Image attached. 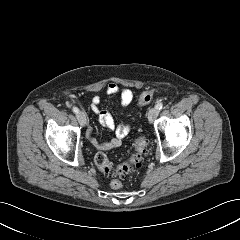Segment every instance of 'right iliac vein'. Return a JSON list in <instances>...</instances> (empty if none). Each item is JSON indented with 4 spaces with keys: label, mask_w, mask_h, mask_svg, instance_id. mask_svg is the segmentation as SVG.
Here are the masks:
<instances>
[{
    "label": "right iliac vein",
    "mask_w": 240,
    "mask_h": 240,
    "mask_svg": "<svg viewBox=\"0 0 240 240\" xmlns=\"http://www.w3.org/2000/svg\"><path fill=\"white\" fill-rule=\"evenodd\" d=\"M77 119H78V122L81 126L86 125L87 119H86V115L83 112H79L77 114Z\"/></svg>",
    "instance_id": "63e3f726"
}]
</instances>
